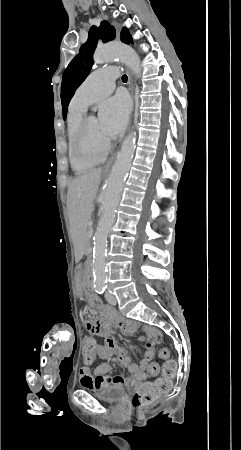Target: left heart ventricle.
Instances as JSON below:
<instances>
[{"label": "left heart ventricle", "mask_w": 241, "mask_h": 450, "mask_svg": "<svg viewBox=\"0 0 241 450\" xmlns=\"http://www.w3.org/2000/svg\"><path fill=\"white\" fill-rule=\"evenodd\" d=\"M86 127L87 132L83 135L81 151L91 153L92 149H94L98 156H103L109 151L110 147L111 138L108 127L103 121H90L86 124ZM83 163L85 165H91L92 158L85 156Z\"/></svg>", "instance_id": "1"}]
</instances>
